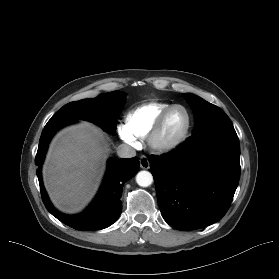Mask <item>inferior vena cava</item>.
Instances as JSON below:
<instances>
[{"mask_svg": "<svg viewBox=\"0 0 279 279\" xmlns=\"http://www.w3.org/2000/svg\"><path fill=\"white\" fill-rule=\"evenodd\" d=\"M117 154L121 158H131L136 156V151L129 145L121 144L117 147Z\"/></svg>", "mask_w": 279, "mask_h": 279, "instance_id": "1", "label": "inferior vena cava"}]
</instances>
